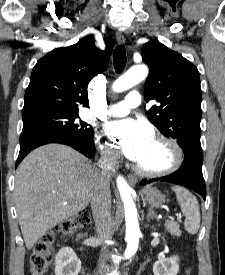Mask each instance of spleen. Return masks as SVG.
<instances>
[{
	"mask_svg": "<svg viewBox=\"0 0 225 275\" xmlns=\"http://www.w3.org/2000/svg\"><path fill=\"white\" fill-rule=\"evenodd\" d=\"M181 211L185 216L184 227L189 234H196L200 227V209L196 197L187 189L173 186Z\"/></svg>",
	"mask_w": 225,
	"mask_h": 275,
	"instance_id": "spleen-1",
	"label": "spleen"
}]
</instances>
